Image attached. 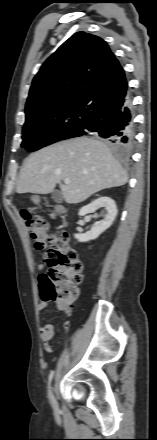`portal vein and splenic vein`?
<instances>
[{
    "instance_id": "1",
    "label": "portal vein and splenic vein",
    "mask_w": 157,
    "mask_h": 440,
    "mask_svg": "<svg viewBox=\"0 0 157 440\" xmlns=\"http://www.w3.org/2000/svg\"><path fill=\"white\" fill-rule=\"evenodd\" d=\"M64 183H65V184H69V183H70V179H65V180H64Z\"/></svg>"
}]
</instances>
